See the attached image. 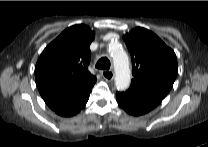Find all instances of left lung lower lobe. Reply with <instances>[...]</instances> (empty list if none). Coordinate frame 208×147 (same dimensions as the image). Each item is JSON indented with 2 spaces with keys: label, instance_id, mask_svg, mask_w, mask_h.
I'll return each instance as SVG.
<instances>
[{
  "label": "left lung lower lobe",
  "instance_id": "left-lung-lower-lobe-1",
  "mask_svg": "<svg viewBox=\"0 0 208 147\" xmlns=\"http://www.w3.org/2000/svg\"><path fill=\"white\" fill-rule=\"evenodd\" d=\"M116 100L128 114L139 116L154 109L163 99L144 90L129 87L125 92H116Z\"/></svg>",
  "mask_w": 208,
  "mask_h": 147
}]
</instances>
